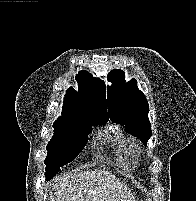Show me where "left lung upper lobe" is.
Masks as SVG:
<instances>
[{
    "instance_id": "5c2ea615",
    "label": "left lung upper lobe",
    "mask_w": 196,
    "mask_h": 201,
    "mask_svg": "<svg viewBox=\"0 0 196 201\" xmlns=\"http://www.w3.org/2000/svg\"><path fill=\"white\" fill-rule=\"evenodd\" d=\"M122 70H112L107 79L112 82L107 86L108 113L112 121L126 124V130L141 138L147 145L151 137V123L148 119L149 105L136 80L124 81Z\"/></svg>"
}]
</instances>
